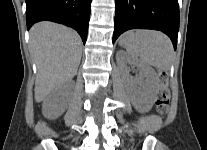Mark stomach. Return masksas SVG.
<instances>
[{
  "label": "stomach",
  "mask_w": 207,
  "mask_h": 150,
  "mask_svg": "<svg viewBox=\"0 0 207 150\" xmlns=\"http://www.w3.org/2000/svg\"><path fill=\"white\" fill-rule=\"evenodd\" d=\"M131 41V36L130 35H125L121 40L120 44L126 46L128 43Z\"/></svg>",
  "instance_id": "stomach-1"
}]
</instances>
